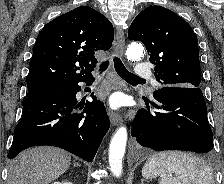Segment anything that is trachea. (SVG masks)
<instances>
[{"instance_id":"3493384b","label":"trachea","mask_w":224,"mask_h":184,"mask_svg":"<svg viewBox=\"0 0 224 184\" xmlns=\"http://www.w3.org/2000/svg\"><path fill=\"white\" fill-rule=\"evenodd\" d=\"M113 61H114V67H115L116 72L124 80H126V81H145L144 79L139 78V77L135 76L134 74H132L131 72H129L118 57H114ZM108 65H109L108 61L102 62V64L100 65V71H105L107 69Z\"/></svg>"}]
</instances>
